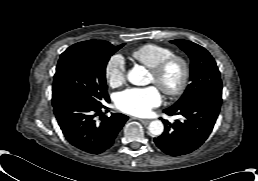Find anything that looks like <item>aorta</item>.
<instances>
[{"mask_svg": "<svg viewBox=\"0 0 258 181\" xmlns=\"http://www.w3.org/2000/svg\"><path fill=\"white\" fill-rule=\"evenodd\" d=\"M145 75L146 70L143 66H135L128 72L127 78L131 84L142 86L146 84ZM148 130L152 135L159 136L164 130L163 123L159 120H154L149 124Z\"/></svg>", "mask_w": 258, "mask_h": 181, "instance_id": "762f6f07", "label": "aorta"}]
</instances>
